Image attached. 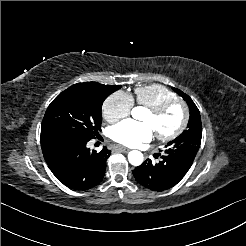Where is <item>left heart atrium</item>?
<instances>
[{"mask_svg":"<svg viewBox=\"0 0 246 246\" xmlns=\"http://www.w3.org/2000/svg\"><path fill=\"white\" fill-rule=\"evenodd\" d=\"M153 136L154 131L149 124L133 120L122 122L112 129V138L127 146H138L151 140Z\"/></svg>","mask_w":246,"mask_h":246,"instance_id":"left-heart-atrium-1","label":"left heart atrium"}]
</instances>
